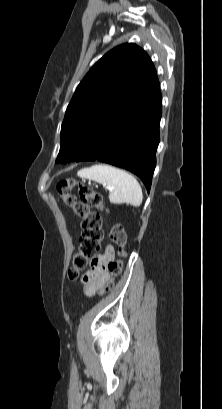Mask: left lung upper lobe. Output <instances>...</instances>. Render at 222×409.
Returning <instances> with one entry per match:
<instances>
[{
    "label": "left lung upper lobe",
    "mask_w": 222,
    "mask_h": 409,
    "mask_svg": "<svg viewBox=\"0 0 222 409\" xmlns=\"http://www.w3.org/2000/svg\"><path fill=\"white\" fill-rule=\"evenodd\" d=\"M159 90L155 67L142 48L130 43L109 51L76 88L61 126L56 162L76 161L128 99L146 101Z\"/></svg>",
    "instance_id": "5c2ea615"
}]
</instances>
